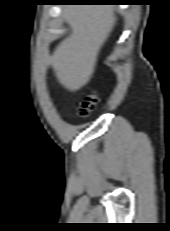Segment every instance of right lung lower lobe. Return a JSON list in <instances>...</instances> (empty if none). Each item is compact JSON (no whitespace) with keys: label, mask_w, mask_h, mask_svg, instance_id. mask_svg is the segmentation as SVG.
<instances>
[{"label":"right lung lower lobe","mask_w":170,"mask_h":231,"mask_svg":"<svg viewBox=\"0 0 170 231\" xmlns=\"http://www.w3.org/2000/svg\"><path fill=\"white\" fill-rule=\"evenodd\" d=\"M57 2H76V3H115L121 0H56Z\"/></svg>","instance_id":"obj_1"}]
</instances>
